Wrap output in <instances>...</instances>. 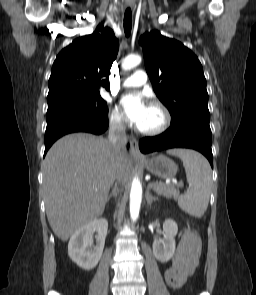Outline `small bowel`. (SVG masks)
Listing matches in <instances>:
<instances>
[{"label": "small bowel", "mask_w": 256, "mask_h": 295, "mask_svg": "<svg viewBox=\"0 0 256 295\" xmlns=\"http://www.w3.org/2000/svg\"><path fill=\"white\" fill-rule=\"evenodd\" d=\"M199 256V238L191 228L185 226L172 258V265L165 271L168 284L175 289L181 288L193 274Z\"/></svg>", "instance_id": "1"}]
</instances>
